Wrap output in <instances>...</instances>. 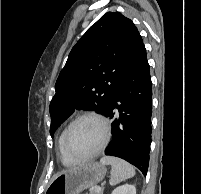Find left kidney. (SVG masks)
<instances>
[{
  "label": "left kidney",
  "instance_id": "obj_1",
  "mask_svg": "<svg viewBox=\"0 0 201 194\" xmlns=\"http://www.w3.org/2000/svg\"><path fill=\"white\" fill-rule=\"evenodd\" d=\"M111 194H136V188L134 185H121L115 188Z\"/></svg>",
  "mask_w": 201,
  "mask_h": 194
}]
</instances>
